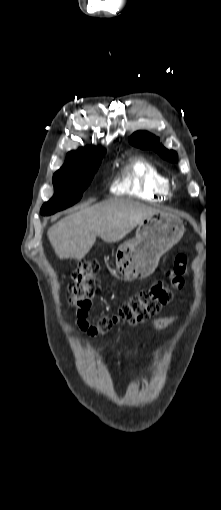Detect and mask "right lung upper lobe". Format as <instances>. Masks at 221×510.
<instances>
[{
	"mask_svg": "<svg viewBox=\"0 0 221 510\" xmlns=\"http://www.w3.org/2000/svg\"><path fill=\"white\" fill-rule=\"evenodd\" d=\"M104 150L95 147L80 148L77 151H71L67 154L66 162L64 165H76L85 160L103 156Z\"/></svg>",
	"mask_w": 221,
	"mask_h": 510,
	"instance_id": "right-lung-upper-lobe-1",
	"label": "right lung upper lobe"
}]
</instances>
